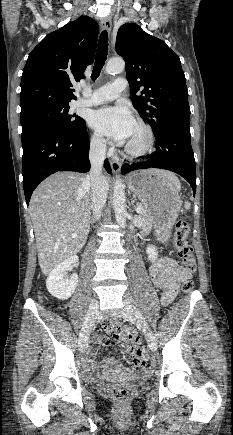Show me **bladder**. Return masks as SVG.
Returning a JSON list of instances; mask_svg holds the SVG:
<instances>
[{"label": "bladder", "instance_id": "31cf9c89", "mask_svg": "<svg viewBox=\"0 0 233 435\" xmlns=\"http://www.w3.org/2000/svg\"><path fill=\"white\" fill-rule=\"evenodd\" d=\"M144 378H145V377H144V376H142V377H140L139 379H140V380H142V379H144Z\"/></svg>", "mask_w": 233, "mask_h": 435}]
</instances>
